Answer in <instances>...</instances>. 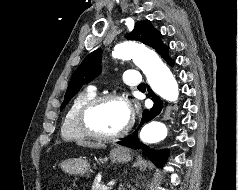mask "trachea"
<instances>
[{"instance_id":"obj_1","label":"trachea","mask_w":238,"mask_h":190,"mask_svg":"<svg viewBox=\"0 0 238 190\" xmlns=\"http://www.w3.org/2000/svg\"><path fill=\"white\" fill-rule=\"evenodd\" d=\"M138 88H145V84L144 83L140 84Z\"/></svg>"}]
</instances>
